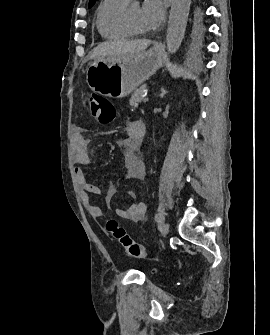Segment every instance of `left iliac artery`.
<instances>
[{"label":"left iliac artery","mask_w":270,"mask_h":335,"mask_svg":"<svg viewBox=\"0 0 270 335\" xmlns=\"http://www.w3.org/2000/svg\"><path fill=\"white\" fill-rule=\"evenodd\" d=\"M164 215L162 213H159L155 216V220L158 222V223H162L164 221Z\"/></svg>","instance_id":"obj_1"}]
</instances>
